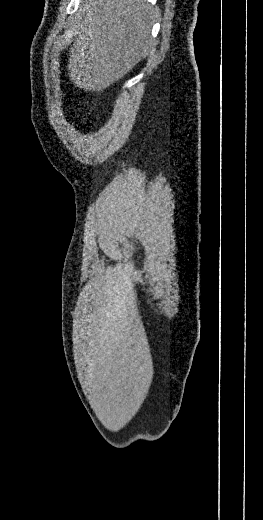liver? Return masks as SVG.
<instances>
[{
  "label": "liver",
  "instance_id": "6515ba94",
  "mask_svg": "<svg viewBox=\"0 0 263 520\" xmlns=\"http://www.w3.org/2000/svg\"><path fill=\"white\" fill-rule=\"evenodd\" d=\"M68 75L85 91H103L149 52L155 9L147 0H84Z\"/></svg>",
  "mask_w": 263,
  "mask_h": 520
}]
</instances>
